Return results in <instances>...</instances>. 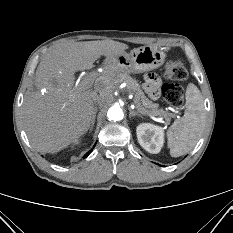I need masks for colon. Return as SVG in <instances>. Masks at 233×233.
<instances>
[{"label":"colon","mask_w":233,"mask_h":233,"mask_svg":"<svg viewBox=\"0 0 233 233\" xmlns=\"http://www.w3.org/2000/svg\"><path fill=\"white\" fill-rule=\"evenodd\" d=\"M165 77L170 82L165 83L161 88V94L165 101L172 106H179L183 100V89L177 81H186L188 72L180 61H167L164 68Z\"/></svg>","instance_id":"colon-1"}]
</instances>
